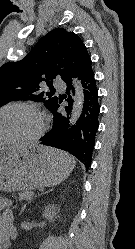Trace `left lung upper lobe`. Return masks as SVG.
Returning <instances> with one entry per match:
<instances>
[{"instance_id":"left-lung-upper-lobe-1","label":"left lung upper lobe","mask_w":135,"mask_h":249,"mask_svg":"<svg viewBox=\"0 0 135 249\" xmlns=\"http://www.w3.org/2000/svg\"><path fill=\"white\" fill-rule=\"evenodd\" d=\"M90 63L82 39L56 28L42 37L22 60L0 67V107L13 100H33L43 102L52 111L58 101L53 97L52 80L61 77L69 83ZM43 83L51 92L41 91Z\"/></svg>"}]
</instances>
